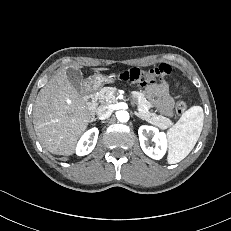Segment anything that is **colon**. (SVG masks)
<instances>
[{
	"instance_id": "5ec220e1",
	"label": "colon",
	"mask_w": 231,
	"mask_h": 231,
	"mask_svg": "<svg viewBox=\"0 0 231 231\" xmlns=\"http://www.w3.org/2000/svg\"><path fill=\"white\" fill-rule=\"evenodd\" d=\"M171 67L167 64H160L153 68H131L119 74V79L130 82L137 86H146L155 82L159 78L169 77ZM187 109V104L183 100H177L175 111L177 114H183Z\"/></svg>"
}]
</instances>
